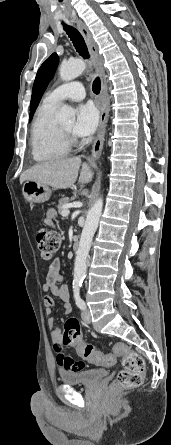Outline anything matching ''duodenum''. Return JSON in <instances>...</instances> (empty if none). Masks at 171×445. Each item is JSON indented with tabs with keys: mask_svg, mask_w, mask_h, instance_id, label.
<instances>
[{
	"mask_svg": "<svg viewBox=\"0 0 171 445\" xmlns=\"http://www.w3.org/2000/svg\"><path fill=\"white\" fill-rule=\"evenodd\" d=\"M73 248L78 250L80 248V240L77 238L73 241Z\"/></svg>",
	"mask_w": 171,
	"mask_h": 445,
	"instance_id": "410a0bca",
	"label": "duodenum"
}]
</instances>
